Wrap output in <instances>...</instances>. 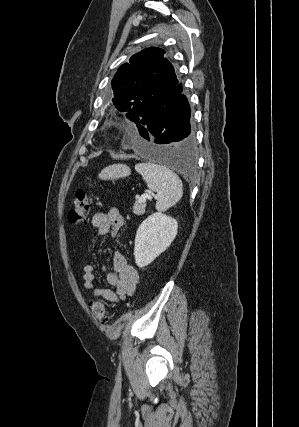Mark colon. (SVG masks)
Listing matches in <instances>:
<instances>
[{
  "instance_id": "colon-1",
  "label": "colon",
  "mask_w": 299,
  "mask_h": 427,
  "mask_svg": "<svg viewBox=\"0 0 299 427\" xmlns=\"http://www.w3.org/2000/svg\"><path fill=\"white\" fill-rule=\"evenodd\" d=\"M91 205V196L86 191H77L73 205L68 213V220L73 225L82 224L86 220V214ZM90 308L94 318L101 324H108L112 318V312L100 300L90 302Z\"/></svg>"
}]
</instances>
